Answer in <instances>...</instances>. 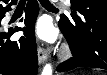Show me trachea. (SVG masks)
I'll use <instances>...</instances> for the list:
<instances>
[{
	"mask_svg": "<svg viewBox=\"0 0 107 75\" xmlns=\"http://www.w3.org/2000/svg\"><path fill=\"white\" fill-rule=\"evenodd\" d=\"M25 0H21L19 2V5H22V4H25ZM40 4L45 7V8H48V9H54L55 7L49 2V0H39Z\"/></svg>",
	"mask_w": 107,
	"mask_h": 75,
	"instance_id": "obj_1",
	"label": "trachea"
}]
</instances>
